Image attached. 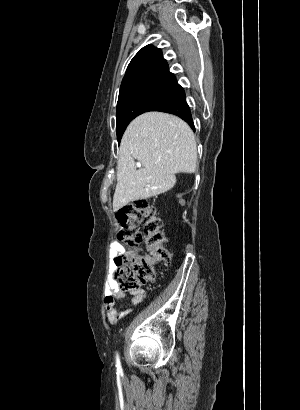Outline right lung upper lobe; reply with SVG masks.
<instances>
[{
    "label": "right lung upper lobe",
    "mask_w": 300,
    "mask_h": 410,
    "mask_svg": "<svg viewBox=\"0 0 300 410\" xmlns=\"http://www.w3.org/2000/svg\"><path fill=\"white\" fill-rule=\"evenodd\" d=\"M176 82L160 49L147 45L131 60L120 91L139 83Z\"/></svg>",
    "instance_id": "cb5924a9"
}]
</instances>
